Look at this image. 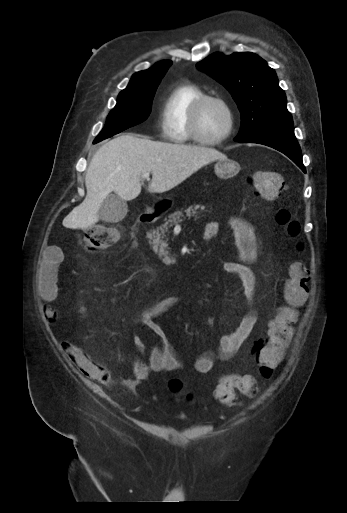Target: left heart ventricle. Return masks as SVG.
I'll list each match as a JSON object with an SVG mask.
<instances>
[{"instance_id": "obj_1", "label": "left heart ventricle", "mask_w": 347, "mask_h": 513, "mask_svg": "<svg viewBox=\"0 0 347 513\" xmlns=\"http://www.w3.org/2000/svg\"><path fill=\"white\" fill-rule=\"evenodd\" d=\"M228 127V115L224 107L217 102H208L204 105L199 130L203 137L214 139L220 137Z\"/></svg>"}]
</instances>
